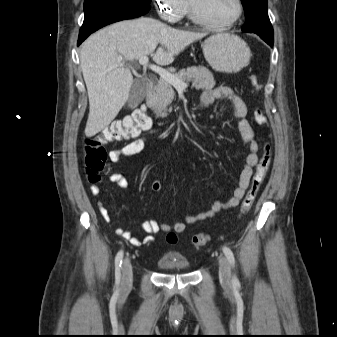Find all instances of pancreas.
<instances>
[{"label": "pancreas", "mask_w": 337, "mask_h": 337, "mask_svg": "<svg viewBox=\"0 0 337 337\" xmlns=\"http://www.w3.org/2000/svg\"><path fill=\"white\" fill-rule=\"evenodd\" d=\"M173 75L183 82L192 81L193 87L197 90L212 89L215 86L213 74L203 66L182 69ZM174 95L172 85L160 77L149 97L148 105L154 110L157 117H167V107L172 103ZM168 111L171 112V108Z\"/></svg>", "instance_id": "pancreas-1"}]
</instances>
